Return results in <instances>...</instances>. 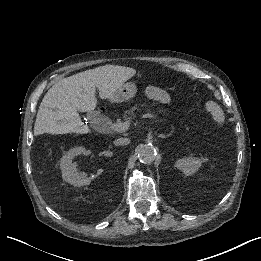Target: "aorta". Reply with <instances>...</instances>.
Masks as SVG:
<instances>
[{
  "mask_svg": "<svg viewBox=\"0 0 261 261\" xmlns=\"http://www.w3.org/2000/svg\"><path fill=\"white\" fill-rule=\"evenodd\" d=\"M137 154L140 162L151 164L156 158V149L151 144H143L137 147Z\"/></svg>",
  "mask_w": 261,
  "mask_h": 261,
  "instance_id": "aorta-1",
  "label": "aorta"
}]
</instances>
